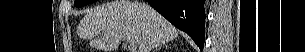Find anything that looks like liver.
<instances>
[{
  "instance_id": "1",
  "label": "liver",
  "mask_w": 305,
  "mask_h": 52,
  "mask_svg": "<svg viewBox=\"0 0 305 52\" xmlns=\"http://www.w3.org/2000/svg\"><path fill=\"white\" fill-rule=\"evenodd\" d=\"M78 35L103 52L116 50L122 39L133 41L138 52H150L173 41L179 31L147 4L115 0L91 9L80 21Z\"/></svg>"
}]
</instances>
